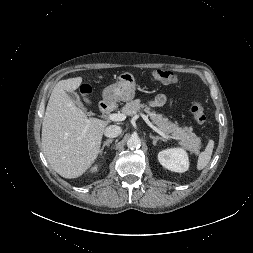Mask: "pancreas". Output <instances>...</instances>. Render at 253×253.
Listing matches in <instances>:
<instances>
[{
	"label": "pancreas",
	"mask_w": 253,
	"mask_h": 253,
	"mask_svg": "<svg viewBox=\"0 0 253 253\" xmlns=\"http://www.w3.org/2000/svg\"><path fill=\"white\" fill-rule=\"evenodd\" d=\"M143 109L151 118L156 127L166 133L172 134V137L181 140V145L191 153L197 154L201 147V140L194 133L191 127H179L178 123L171 122L167 117L157 113L150 107L141 104L139 99L128 102L121 112L127 116H133Z\"/></svg>",
	"instance_id": "obj_1"
}]
</instances>
